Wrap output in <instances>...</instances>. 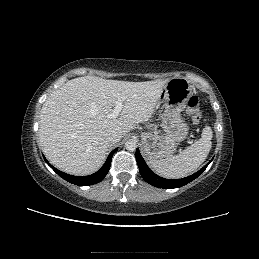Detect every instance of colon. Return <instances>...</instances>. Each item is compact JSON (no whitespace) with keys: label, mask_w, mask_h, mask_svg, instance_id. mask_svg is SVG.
Masks as SVG:
<instances>
[{"label":"colon","mask_w":259,"mask_h":259,"mask_svg":"<svg viewBox=\"0 0 259 259\" xmlns=\"http://www.w3.org/2000/svg\"><path fill=\"white\" fill-rule=\"evenodd\" d=\"M186 112L191 117L194 124H199L201 121L200 102L198 97L191 96L186 105Z\"/></svg>","instance_id":"colon-1"}]
</instances>
